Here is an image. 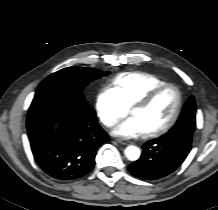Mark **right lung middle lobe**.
<instances>
[{"mask_svg": "<svg viewBox=\"0 0 218 210\" xmlns=\"http://www.w3.org/2000/svg\"><path fill=\"white\" fill-rule=\"evenodd\" d=\"M103 72L86 67H68L46 77L38 86L33 100L55 98L88 106L82 90L92 80L106 76Z\"/></svg>", "mask_w": 218, "mask_h": 210, "instance_id": "dd1d6c3e", "label": "right lung middle lobe"}]
</instances>
